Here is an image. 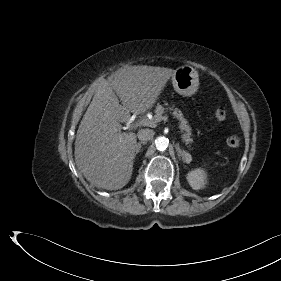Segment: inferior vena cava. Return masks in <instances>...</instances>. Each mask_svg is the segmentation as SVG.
<instances>
[{
	"label": "inferior vena cava",
	"mask_w": 281,
	"mask_h": 281,
	"mask_svg": "<svg viewBox=\"0 0 281 281\" xmlns=\"http://www.w3.org/2000/svg\"><path fill=\"white\" fill-rule=\"evenodd\" d=\"M154 134L153 130L146 128L139 130L137 136L141 142H147L154 137Z\"/></svg>",
	"instance_id": "1"
}]
</instances>
